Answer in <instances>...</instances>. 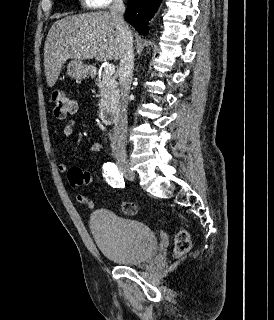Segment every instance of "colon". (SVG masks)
<instances>
[{
    "mask_svg": "<svg viewBox=\"0 0 274 320\" xmlns=\"http://www.w3.org/2000/svg\"><path fill=\"white\" fill-rule=\"evenodd\" d=\"M50 100L52 103L53 117L57 120H64L69 115H73L76 111V102L70 97L66 91L62 88L54 89L50 94ZM89 170L83 169L82 171L76 167L71 168L67 177L71 186L77 188L82 182L85 186L91 185L89 179ZM120 211L126 216H134L138 212V208L131 202H121ZM191 246L188 233L184 229H180L176 233V250L179 255L186 253Z\"/></svg>",
    "mask_w": 274,
    "mask_h": 320,
    "instance_id": "colon-1",
    "label": "colon"
}]
</instances>
